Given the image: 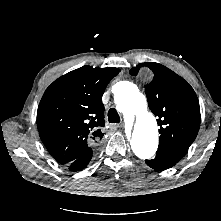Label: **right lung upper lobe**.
<instances>
[{"label": "right lung upper lobe", "mask_w": 221, "mask_h": 221, "mask_svg": "<svg viewBox=\"0 0 221 221\" xmlns=\"http://www.w3.org/2000/svg\"><path fill=\"white\" fill-rule=\"evenodd\" d=\"M117 68L83 66L54 81L37 111L40 138L49 153L68 165L91 150L104 126L102 95Z\"/></svg>", "instance_id": "1"}]
</instances>
